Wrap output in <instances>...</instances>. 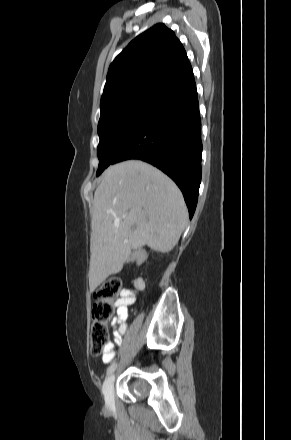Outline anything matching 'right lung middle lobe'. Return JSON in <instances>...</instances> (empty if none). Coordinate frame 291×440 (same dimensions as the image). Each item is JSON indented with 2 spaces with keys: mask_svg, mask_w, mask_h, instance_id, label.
<instances>
[{
  "mask_svg": "<svg viewBox=\"0 0 291 440\" xmlns=\"http://www.w3.org/2000/svg\"><path fill=\"white\" fill-rule=\"evenodd\" d=\"M154 99L153 96H138L101 106L98 122L100 142L97 147L99 166L96 176L111 164L113 157L139 125Z\"/></svg>",
  "mask_w": 291,
  "mask_h": 440,
  "instance_id": "1",
  "label": "right lung middle lobe"
}]
</instances>
